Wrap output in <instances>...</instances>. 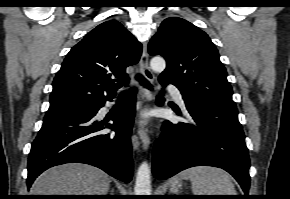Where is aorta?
Masks as SVG:
<instances>
[{
    "label": "aorta",
    "mask_w": 290,
    "mask_h": 199,
    "mask_svg": "<svg viewBox=\"0 0 290 199\" xmlns=\"http://www.w3.org/2000/svg\"><path fill=\"white\" fill-rule=\"evenodd\" d=\"M150 66L153 71L162 72L166 68V62L162 57H153ZM134 193L151 195V168L146 161L142 162L137 170Z\"/></svg>",
    "instance_id": "1"
}]
</instances>
